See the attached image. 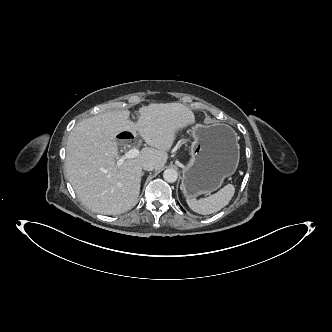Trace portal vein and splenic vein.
<instances>
[{"mask_svg": "<svg viewBox=\"0 0 332 332\" xmlns=\"http://www.w3.org/2000/svg\"><path fill=\"white\" fill-rule=\"evenodd\" d=\"M138 155H139V149H138V147L135 146V147L131 148L129 151H127L124 155H121L118 158L116 164H117V166H121L125 160L133 159V158L137 157Z\"/></svg>", "mask_w": 332, "mask_h": 332, "instance_id": "portal-vein-and-splenic-vein-1", "label": "portal vein and splenic vein"}]
</instances>
